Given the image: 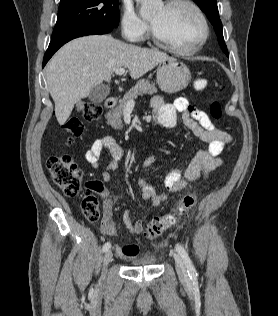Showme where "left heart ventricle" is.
I'll return each instance as SVG.
<instances>
[{
    "label": "left heart ventricle",
    "instance_id": "obj_1",
    "mask_svg": "<svg viewBox=\"0 0 278 316\" xmlns=\"http://www.w3.org/2000/svg\"><path fill=\"white\" fill-rule=\"evenodd\" d=\"M157 32L171 43L191 48L202 38L203 27L195 11L184 4L160 5L150 18Z\"/></svg>",
    "mask_w": 278,
    "mask_h": 316
}]
</instances>
